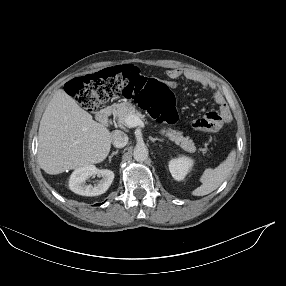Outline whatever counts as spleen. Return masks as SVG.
Wrapping results in <instances>:
<instances>
[{"instance_id":"spleen-1","label":"spleen","mask_w":286,"mask_h":286,"mask_svg":"<svg viewBox=\"0 0 286 286\" xmlns=\"http://www.w3.org/2000/svg\"><path fill=\"white\" fill-rule=\"evenodd\" d=\"M236 158V151L232 150L227 159L215 169L207 168L201 178V186L192 191L195 196H204L216 190L230 174Z\"/></svg>"}]
</instances>
